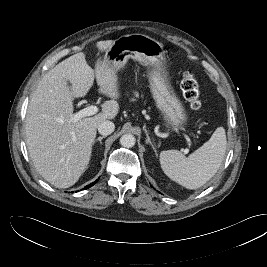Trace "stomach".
<instances>
[{
    "instance_id": "1",
    "label": "stomach",
    "mask_w": 267,
    "mask_h": 267,
    "mask_svg": "<svg viewBox=\"0 0 267 267\" xmlns=\"http://www.w3.org/2000/svg\"><path fill=\"white\" fill-rule=\"evenodd\" d=\"M110 67L119 71L132 58L148 67L150 90L166 123L174 129L186 125L188 116L170 81L163 45L143 34L124 35L105 54Z\"/></svg>"
}]
</instances>
